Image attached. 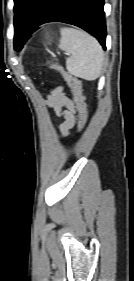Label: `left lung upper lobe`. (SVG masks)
<instances>
[{"instance_id": "left-lung-upper-lobe-1", "label": "left lung upper lobe", "mask_w": 134, "mask_h": 281, "mask_svg": "<svg viewBox=\"0 0 134 281\" xmlns=\"http://www.w3.org/2000/svg\"><path fill=\"white\" fill-rule=\"evenodd\" d=\"M42 0H14L15 31L25 29Z\"/></svg>"}]
</instances>
